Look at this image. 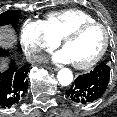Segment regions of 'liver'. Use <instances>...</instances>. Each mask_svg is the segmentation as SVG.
Listing matches in <instances>:
<instances>
[{"mask_svg":"<svg viewBox=\"0 0 117 117\" xmlns=\"http://www.w3.org/2000/svg\"><path fill=\"white\" fill-rule=\"evenodd\" d=\"M16 41V35L14 34L13 30L7 27L0 28V47L8 48L12 47L13 44ZM6 66V60L5 63L2 61L0 63V67Z\"/></svg>","mask_w":117,"mask_h":117,"instance_id":"liver-1","label":"liver"}]
</instances>
